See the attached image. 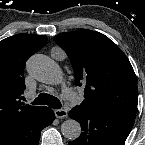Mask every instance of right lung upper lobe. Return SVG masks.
Returning <instances> with one entry per match:
<instances>
[{"label":"right lung upper lobe","instance_id":"1","mask_svg":"<svg viewBox=\"0 0 145 145\" xmlns=\"http://www.w3.org/2000/svg\"><path fill=\"white\" fill-rule=\"evenodd\" d=\"M46 41V36L23 33L0 41V131L43 108L25 104L20 97L26 88L25 63Z\"/></svg>","mask_w":145,"mask_h":145}]
</instances>
